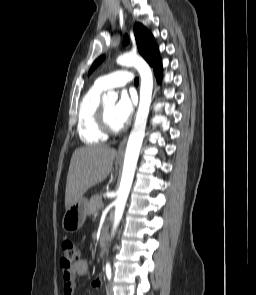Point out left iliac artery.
<instances>
[{
    "label": "left iliac artery",
    "instance_id": "1",
    "mask_svg": "<svg viewBox=\"0 0 256 295\" xmlns=\"http://www.w3.org/2000/svg\"><path fill=\"white\" fill-rule=\"evenodd\" d=\"M106 276L108 280H111L112 272H111V266L109 263L106 264Z\"/></svg>",
    "mask_w": 256,
    "mask_h": 295
}]
</instances>
